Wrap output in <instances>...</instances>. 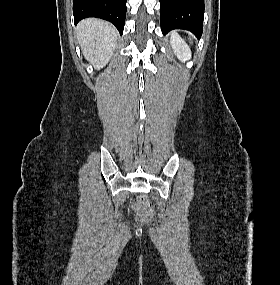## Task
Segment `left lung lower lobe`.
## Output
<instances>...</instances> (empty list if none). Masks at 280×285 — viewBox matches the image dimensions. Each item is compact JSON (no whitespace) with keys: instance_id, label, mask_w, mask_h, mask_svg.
I'll return each instance as SVG.
<instances>
[{"instance_id":"obj_1","label":"left lung lower lobe","mask_w":280,"mask_h":285,"mask_svg":"<svg viewBox=\"0 0 280 285\" xmlns=\"http://www.w3.org/2000/svg\"><path fill=\"white\" fill-rule=\"evenodd\" d=\"M204 0H160L161 30L185 29L198 38L203 31Z\"/></svg>"}]
</instances>
